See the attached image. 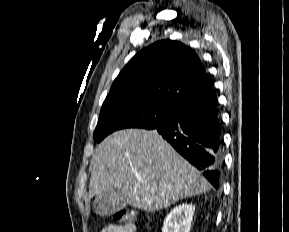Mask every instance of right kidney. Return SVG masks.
<instances>
[{
    "label": "right kidney",
    "mask_w": 289,
    "mask_h": 232,
    "mask_svg": "<svg viewBox=\"0 0 289 232\" xmlns=\"http://www.w3.org/2000/svg\"><path fill=\"white\" fill-rule=\"evenodd\" d=\"M194 211L192 204L174 207L164 220L162 232H190Z\"/></svg>",
    "instance_id": "1"
}]
</instances>
